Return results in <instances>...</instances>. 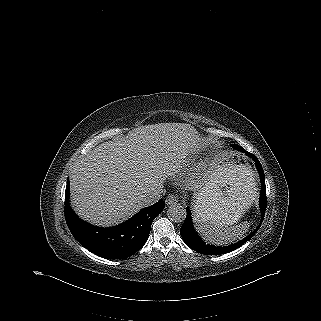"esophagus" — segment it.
<instances>
[{
    "instance_id": "obj_1",
    "label": "esophagus",
    "mask_w": 321,
    "mask_h": 321,
    "mask_svg": "<svg viewBox=\"0 0 321 321\" xmlns=\"http://www.w3.org/2000/svg\"><path fill=\"white\" fill-rule=\"evenodd\" d=\"M167 205H172L178 202V196L175 194H170L167 196L166 200H165Z\"/></svg>"
}]
</instances>
